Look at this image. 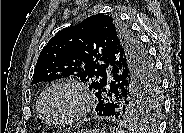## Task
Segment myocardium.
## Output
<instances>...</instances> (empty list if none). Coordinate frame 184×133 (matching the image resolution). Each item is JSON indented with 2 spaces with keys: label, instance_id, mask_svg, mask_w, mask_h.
Here are the masks:
<instances>
[{
  "label": "myocardium",
  "instance_id": "f54148a6",
  "mask_svg": "<svg viewBox=\"0 0 184 133\" xmlns=\"http://www.w3.org/2000/svg\"><path fill=\"white\" fill-rule=\"evenodd\" d=\"M58 88H66L73 91L78 99L77 110L71 116L64 119H53L49 116L46 110V100L49 94ZM39 109H40V112L42 113L44 120L47 121L48 123L55 126L70 125L81 120L88 112L89 110L88 95L85 88L80 83L73 82V81L57 82L55 84H52L50 87H48L45 90V92L42 94L40 103H39Z\"/></svg>",
  "mask_w": 184,
  "mask_h": 133
}]
</instances>
